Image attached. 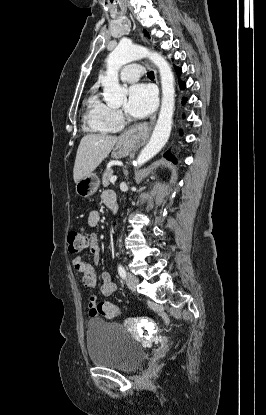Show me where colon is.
I'll list each match as a JSON object with an SVG mask.
<instances>
[{
	"label": "colon",
	"mask_w": 266,
	"mask_h": 415,
	"mask_svg": "<svg viewBox=\"0 0 266 415\" xmlns=\"http://www.w3.org/2000/svg\"><path fill=\"white\" fill-rule=\"evenodd\" d=\"M68 250L70 253L76 254L87 247L88 239L84 233L75 230L68 234ZM96 315H102L106 318H115L120 314L118 306L109 302H101L94 308Z\"/></svg>",
	"instance_id": "colon-1"
}]
</instances>
